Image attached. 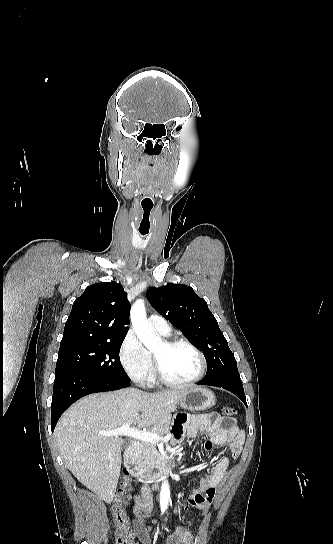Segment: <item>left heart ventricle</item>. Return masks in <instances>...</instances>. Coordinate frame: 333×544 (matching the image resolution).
Returning <instances> with one entry per match:
<instances>
[{"label":"left heart ventricle","instance_id":"left-heart-ventricle-1","mask_svg":"<svg viewBox=\"0 0 333 544\" xmlns=\"http://www.w3.org/2000/svg\"><path fill=\"white\" fill-rule=\"evenodd\" d=\"M164 375L176 382H184L195 377L200 370V360L196 353L184 345L167 347L164 343L154 350Z\"/></svg>","mask_w":333,"mask_h":544}]
</instances>
